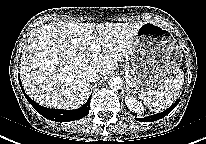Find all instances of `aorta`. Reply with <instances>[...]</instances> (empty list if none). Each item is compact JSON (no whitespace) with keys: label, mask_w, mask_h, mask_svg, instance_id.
<instances>
[{"label":"aorta","mask_w":206,"mask_h":144,"mask_svg":"<svg viewBox=\"0 0 206 144\" xmlns=\"http://www.w3.org/2000/svg\"><path fill=\"white\" fill-rule=\"evenodd\" d=\"M108 84H109L110 88L113 90H119L123 86L122 79L120 77H117V76L112 77L109 80Z\"/></svg>","instance_id":"762f6f07"}]
</instances>
